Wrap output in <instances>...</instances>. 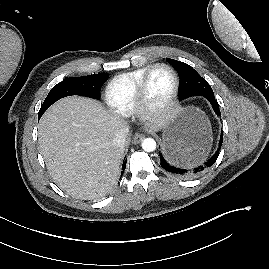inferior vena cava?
Segmentation results:
<instances>
[{
  "label": "inferior vena cava",
  "mask_w": 269,
  "mask_h": 269,
  "mask_svg": "<svg viewBox=\"0 0 269 269\" xmlns=\"http://www.w3.org/2000/svg\"><path fill=\"white\" fill-rule=\"evenodd\" d=\"M128 135V129L127 128H123L121 129L116 136L114 137V139L112 140V144L116 147H124L126 144V138Z\"/></svg>",
  "instance_id": "1"
}]
</instances>
